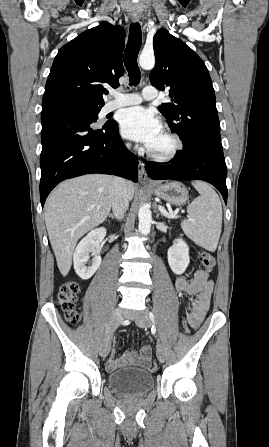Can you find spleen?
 Returning a JSON list of instances; mask_svg holds the SVG:
<instances>
[{"label": "spleen", "instance_id": "spleen-1", "mask_svg": "<svg viewBox=\"0 0 269 447\" xmlns=\"http://www.w3.org/2000/svg\"><path fill=\"white\" fill-rule=\"evenodd\" d=\"M193 186L200 194L187 208V214L194 222L183 220L181 227L197 245L215 251L222 225L221 200L209 184L195 180Z\"/></svg>", "mask_w": 269, "mask_h": 447}]
</instances>
